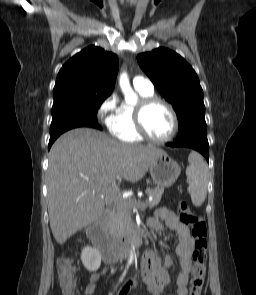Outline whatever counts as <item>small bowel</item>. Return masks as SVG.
Here are the masks:
<instances>
[{
    "label": "small bowel",
    "instance_id": "obj_1",
    "mask_svg": "<svg viewBox=\"0 0 256 295\" xmlns=\"http://www.w3.org/2000/svg\"><path fill=\"white\" fill-rule=\"evenodd\" d=\"M148 226L156 232L162 231L166 226L177 234L179 244L176 254L180 258V271L176 279V295H187L189 272L192 267L191 256L194 250V238L188 227L167 208L158 209L155 216L149 220ZM174 265V259L170 256H166L162 262L155 250L145 251L142 258V282L153 295H160L170 286L172 278L169 269ZM107 270L108 264L101 272L92 274L85 295H93L97 289L98 280L107 273ZM138 285L137 280H130L118 291L117 295H128Z\"/></svg>",
    "mask_w": 256,
    "mask_h": 295
}]
</instances>
